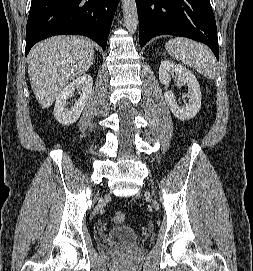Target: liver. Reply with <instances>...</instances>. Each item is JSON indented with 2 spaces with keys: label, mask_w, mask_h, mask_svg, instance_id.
I'll return each instance as SVG.
<instances>
[{
  "label": "liver",
  "mask_w": 253,
  "mask_h": 271,
  "mask_svg": "<svg viewBox=\"0 0 253 271\" xmlns=\"http://www.w3.org/2000/svg\"><path fill=\"white\" fill-rule=\"evenodd\" d=\"M94 49L76 36H55L35 45L27 58L31 88L42 108L50 107L63 88L88 71Z\"/></svg>",
  "instance_id": "obj_1"
}]
</instances>
